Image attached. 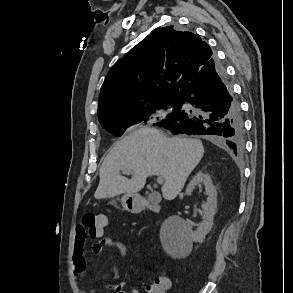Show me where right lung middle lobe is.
<instances>
[{"label":"right lung middle lobe","mask_w":293,"mask_h":293,"mask_svg":"<svg viewBox=\"0 0 293 293\" xmlns=\"http://www.w3.org/2000/svg\"><path fill=\"white\" fill-rule=\"evenodd\" d=\"M176 100H166L151 107L129 114H112L99 118L103 128L114 135L121 136L125 130L141 121L160 120L176 109Z\"/></svg>","instance_id":"right-lung-middle-lobe-1"}]
</instances>
